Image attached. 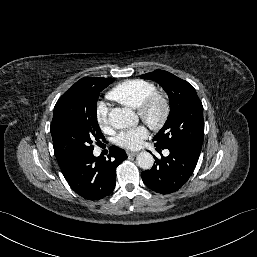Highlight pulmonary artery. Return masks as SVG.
Returning <instances> with one entry per match:
<instances>
[{"label": "pulmonary artery", "mask_w": 257, "mask_h": 257, "mask_svg": "<svg viewBox=\"0 0 257 257\" xmlns=\"http://www.w3.org/2000/svg\"><path fill=\"white\" fill-rule=\"evenodd\" d=\"M164 154H165V155H168V154H169V151H168V150H166V151L164 152Z\"/></svg>", "instance_id": "1"}]
</instances>
